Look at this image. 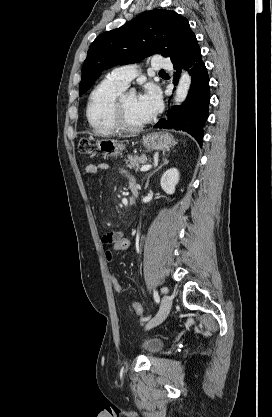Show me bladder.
<instances>
[{
    "label": "bladder",
    "mask_w": 272,
    "mask_h": 417,
    "mask_svg": "<svg viewBox=\"0 0 272 417\" xmlns=\"http://www.w3.org/2000/svg\"><path fill=\"white\" fill-rule=\"evenodd\" d=\"M140 348L146 355L153 356L162 350L163 342L155 338L146 339L141 343Z\"/></svg>",
    "instance_id": "bladder-1"
}]
</instances>
